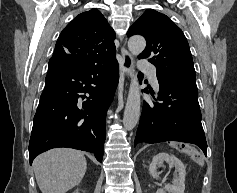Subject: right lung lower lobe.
<instances>
[{"instance_id": "obj_1", "label": "right lung lower lobe", "mask_w": 237, "mask_h": 193, "mask_svg": "<svg viewBox=\"0 0 237 193\" xmlns=\"http://www.w3.org/2000/svg\"><path fill=\"white\" fill-rule=\"evenodd\" d=\"M118 80L116 58L83 70L49 63L30 137V164L40 153L56 147L92 152L102 162L105 118ZM79 98L87 99L80 103Z\"/></svg>"}]
</instances>
